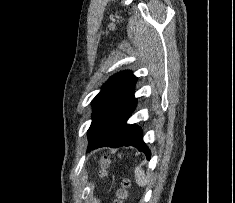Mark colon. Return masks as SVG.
Masks as SVG:
<instances>
[{"mask_svg":"<svg viewBox=\"0 0 235 203\" xmlns=\"http://www.w3.org/2000/svg\"><path fill=\"white\" fill-rule=\"evenodd\" d=\"M108 164V159L104 157L101 160V167L103 170L101 171L102 175H105V167ZM128 187H129V182L124 181L120 187V189L117 192V199L115 200L114 203H124L128 198H129V192H128Z\"/></svg>","mask_w":235,"mask_h":203,"instance_id":"obj_1","label":"colon"}]
</instances>
